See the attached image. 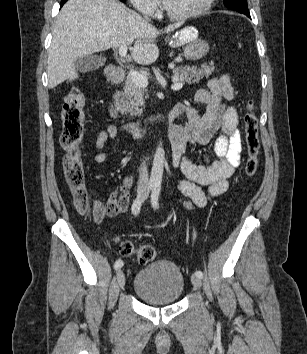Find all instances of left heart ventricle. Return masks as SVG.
Segmentation results:
<instances>
[{"mask_svg":"<svg viewBox=\"0 0 307 354\" xmlns=\"http://www.w3.org/2000/svg\"><path fill=\"white\" fill-rule=\"evenodd\" d=\"M203 0H170L167 9L174 14H184L197 9Z\"/></svg>","mask_w":307,"mask_h":354,"instance_id":"1","label":"left heart ventricle"}]
</instances>
